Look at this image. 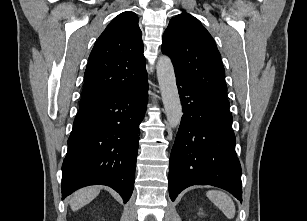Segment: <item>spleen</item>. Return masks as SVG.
Wrapping results in <instances>:
<instances>
[{
	"mask_svg": "<svg viewBox=\"0 0 307 221\" xmlns=\"http://www.w3.org/2000/svg\"><path fill=\"white\" fill-rule=\"evenodd\" d=\"M206 195L211 200V202H213L224 213L227 218H234L235 204L225 192L210 190L206 193Z\"/></svg>",
	"mask_w": 307,
	"mask_h": 221,
	"instance_id": "spleen-1",
	"label": "spleen"
}]
</instances>
